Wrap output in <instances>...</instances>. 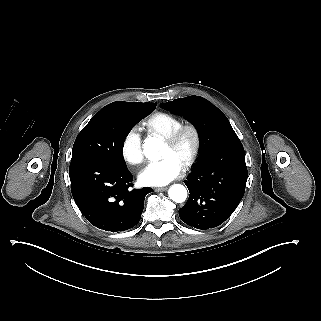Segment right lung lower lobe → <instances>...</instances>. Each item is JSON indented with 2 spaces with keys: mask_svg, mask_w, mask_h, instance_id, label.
I'll return each mask as SVG.
<instances>
[{
  "mask_svg": "<svg viewBox=\"0 0 321 321\" xmlns=\"http://www.w3.org/2000/svg\"><path fill=\"white\" fill-rule=\"evenodd\" d=\"M71 191L76 205L94 226L111 232L134 227L141 218L146 194L132 186V175L126 167L89 158L71 160Z\"/></svg>",
  "mask_w": 321,
  "mask_h": 321,
  "instance_id": "98d812e1",
  "label": "right lung lower lobe"
}]
</instances>
